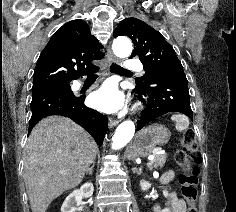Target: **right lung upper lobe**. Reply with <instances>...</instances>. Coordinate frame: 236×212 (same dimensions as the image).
<instances>
[{"instance_id":"obj_1","label":"right lung upper lobe","mask_w":236,"mask_h":212,"mask_svg":"<svg viewBox=\"0 0 236 212\" xmlns=\"http://www.w3.org/2000/svg\"><path fill=\"white\" fill-rule=\"evenodd\" d=\"M101 46L83 20L66 23L41 52L34 70L33 86L69 85L96 67L92 61L104 57Z\"/></svg>"}]
</instances>
